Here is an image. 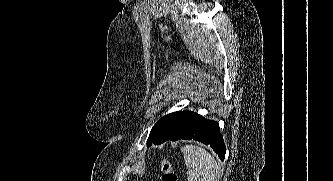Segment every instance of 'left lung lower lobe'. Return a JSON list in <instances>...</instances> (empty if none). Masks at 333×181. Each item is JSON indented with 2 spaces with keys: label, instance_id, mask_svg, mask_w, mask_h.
Listing matches in <instances>:
<instances>
[{
  "label": "left lung lower lobe",
  "instance_id": "left-lung-lower-lobe-1",
  "mask_svg": "<svg viewBox=\"0 0 333 181\" xmlns=\"http://www.w3.org/2000/svg\"><path fill=\"white\" fill-rule=\"evenodd\" d=\"M180 139L196 140L203 144L210 145L222 161L225 158L226 147L223 137L219 131L218 123L213 120H207L202 118V116L197 115V117L182 132L171 140L176 141ZM162 143H164L163 140L155 138L148 144V146L151 144L159 145Z\"/></svg>",
  "mask_w": 333,
  "mask_h": 181
}]
</instances>
